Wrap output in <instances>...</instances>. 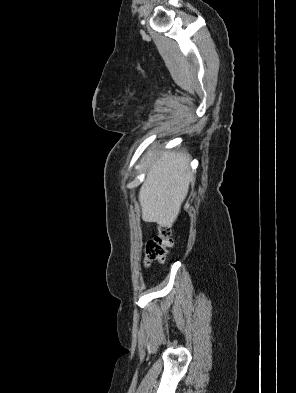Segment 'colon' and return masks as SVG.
<instances>
[{
    "mask_svg": "<svg viewBox=\"0 0 296 393\" xmlns=\"http://www.w3.org/2000/svg\"><path fill=\"white\" fill-rule=\"evenodd\" d=\"M172 243L170 229L160 227L157 235L147 243L146 257L148 264L154 261L163 262Z\"/></svg>",
    "mask_w": 296,
    "mask_h": 393,
    "instance_id": "5ec220e1",
    "label": "colon"
}]
</instances>
